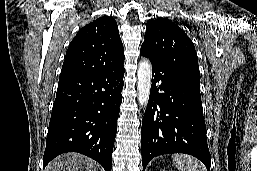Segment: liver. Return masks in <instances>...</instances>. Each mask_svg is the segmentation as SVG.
Returning <instances> with one entry per match:
<instances>
[{
  "mask_svg": "<svg viewBox=\"0 0 257 171\" xmlns=\"http://www.w3.org/2000/svg\"><path fill=\"white\" fill-rule=\"evenodd\" d=\"M45 171H97L91 159L77 153H65L48 164Z\"/></svg>",
  "mask_w": 257,
  "mask_h": 171,
  "instance_id": "6515ba94",
  "label": "liver"
}]
</instances>
